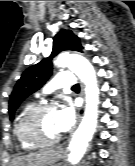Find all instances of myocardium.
<instances>
[{
    "label": "myocardium",
    "instance_id": "1",
    "mask_svg": "<svg viewBox=\"0 0 135 166\" xmlns=\"http://www.w3.org/2000/svg\"><path fill=\"white\" fill-rule=\"evenodd\" d=\"M55 110L56 105L53 103H41L31 107L26 111L20 121V136L25 141L37 146H51L58 143L62 138L61 134L53 139H45L41 137L34 129V122L41 114Z\"/></svg>",
    "mask_w": 135,
    "mask_h": 166
}]
</instances>
